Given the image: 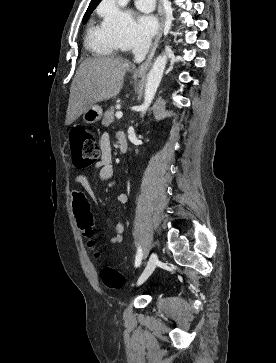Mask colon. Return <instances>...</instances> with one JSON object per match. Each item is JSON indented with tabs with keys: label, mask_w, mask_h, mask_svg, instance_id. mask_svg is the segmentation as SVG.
I'll return each mask as SVG.
<instances>
[{
	"label": "colon",
	"mask_w": 276,
	"mask_h": 363,
	"mask_svg": "<svg viewBox=\"0 0 276 363\" xmlns=\"http://www.w3.org/2000/svg\"><path fill=\"white\" fill-rule=\"evenodd\" d=\"M70 148L74 164L79 168H86L97 162L99 145L94 134L85 128H77L70 133ZM93 224L87 216L78 220L80 229L86 230ZM92 243V241H90ZM101 279L106 287L122 288L125 284L124 276L115 268L106 266L101 270Z\"/></svg>",
	"instance_id": "5ec220e1"
}]
</instances>
